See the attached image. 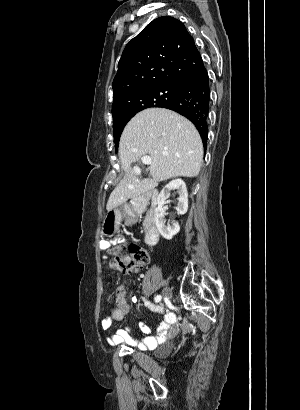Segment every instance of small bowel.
Segmentation results:
<instances>
[{"mask_svg": "<svg viewBox=\"0 0 300 410\" xmlns=\"http://www.w3.org/2000/svg\"><path fill=\"white\" fill-rule=\"evenodd\" d=\"M133 301H137L135 297ZM145 305L155 313L161 315L162 322L160 323L155 335H152L151 329L144 323H140V329L143 333V338L137 340L132 337L129 328H120L107 336V342L111 346L126 343L128 345L137 346L142 350L152 349L158 343L172 338L179 331V326L176 324L175 316L166 308L156 306L150 302H145ZM129 311V306L126 300L125 285L118 286L116 290L115 305L110 311V315L103 318L100 326L104 331L110 330L113 321L120 320Z\"/></svg>", "mask_w": 300, "mask_h": 410, "instance_id": "obj_1", "label": "small bowel"}]
</instances>
